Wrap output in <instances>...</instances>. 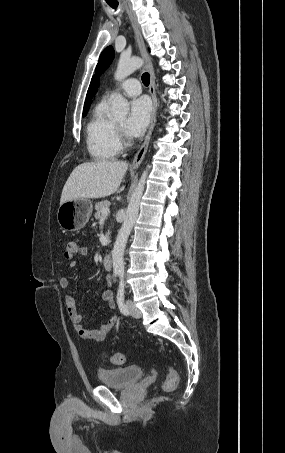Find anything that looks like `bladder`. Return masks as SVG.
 I'll use <instances>...</instances> for the list:
<instances>
[{
  "label": "bladder",
  "instance_id": "31cf9c89",
  "mask_svg": "<svg viewBox=\"0 0 285 453\" xmlns=\"http://www.w3.org/2000/svg\"><path fill=\"white\" fill-rule=\"evenodd\" d=\"M144 374V369L138 365L97 370L98 381L104 386L113 388H128L138 382Z\"/></svg>",
  "mask_w": 285,
  "mask_h": 453
}]
</instances>
